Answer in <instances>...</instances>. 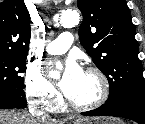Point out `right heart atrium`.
Returning a JSON list of instances; mask_svg holds the SVG:
<instances>
[{
	"label": "right heart atrium",
	"mask_w": 145,
	"mask_h": 124,
	"mask_svg": "<svg viewBox=\"0 0 145 124\" xmlns=\"http://www.w3.org/2000/svg\"><path fill=\"white\" fill-rule=\"evenodd\" d=\"M25 92L34 106L45 111H55L60 105V96L36 68H28L25 73Z\"/></svg>",
	"instance_id": "1"
}]
</instances>
